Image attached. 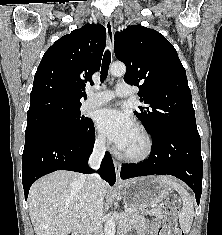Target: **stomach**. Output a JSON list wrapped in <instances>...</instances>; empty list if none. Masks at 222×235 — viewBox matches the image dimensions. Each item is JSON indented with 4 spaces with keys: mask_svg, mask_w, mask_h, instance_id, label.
Segmentation results:
<instances>
[{
    "mask_svg": "<svg viewBox=\"0 0 222 235\" xmlns=\"http://www.w3.org/2000/svg\"><path fill=\"white\" fill-rule=\"evenodd\" d=\"M125 203L136 210H144L163 201L171 187L159 177H142L122 184Z\"/></svg>",
    "mask_w": 222,
    "mask_h": 235,
    "instance_id": "stomach-1",
    "label": "stomach"
}]
</instances>
